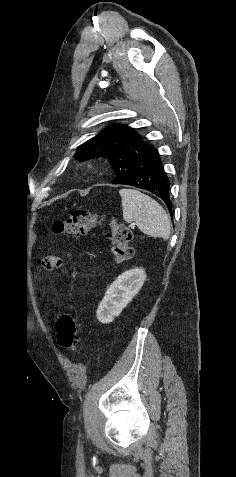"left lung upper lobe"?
<instances>
[{
	"mask_svg": "<svg viewBox=\"0 0 236 477\" xmlns=\"http://www.w3.org/2000/svg\"><path fill=\"white\" fill-rule=\"evenodd\" d=\"M148 147L131 127L111 125L79 146L74 158L79 161L107 158L116 173L113 183L119 184L128 176L134 161Z\"/></svg>",
	"mask_w": 236,
	"mask_h": 477,
	"instance_id": "5c2ea615",
	"label": "left lung upper lobe"
}]
</instances>
